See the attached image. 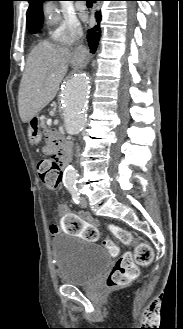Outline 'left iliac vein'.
<instances>
[{"instance_id": "4c4485c4", "label": "left iliac vein", "mask_w": 183, "mask_h": 329, "mask_svg": "<svg viewBox=\"0 0 183 329\" xmlns=\"http://www.w3.org/2000/svg\"><path fill=\"white\" fill-rule=\"evenodd\" d=\"M80 205L83 208H86L87 207V200H86V198H84V197H81L80 198Z\"/></svg>"}]
</instances>
